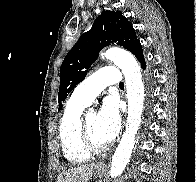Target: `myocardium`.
I'll return each mask as SVG.
<instances>
[{"instance_id":"myocardium-1","label":"myocardium","mask_w":196,"mask_h":182,"mask_svg":"<svg viewBox=\"0 0 196 182\" xmlns=\"http://www.w3.org/2000/svg\"><path fill=\"white\" fill-rule=\"evenodd\" d=\"M86 115L81 114L78 123V138L81 147L89 154H98L107 150L108 145H96L92 142L87 126H86Z\"/></svg>"}]
</instances>
